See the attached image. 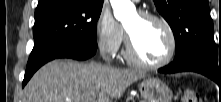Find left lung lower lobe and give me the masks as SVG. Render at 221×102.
<instances>
[{
	"instance_id": "obj_1",
	"label": "left lung lower lobe",
	"mask_w": 221,
	"mask_h": 102,
	"mask_svg": "<svg viewBox=\"0 0 221 102\" xmlns=\"http://www.w3.org/2000/svg\"><path fill=\"white\" fill-rule=\"evenodd\" d=\"M160 73H176L183 71H193L201 73L213 81L219 86L221 85V68H218L212 61L200 55H187L174 61L158 70Z\"/></svg>"
}]
</instances>
